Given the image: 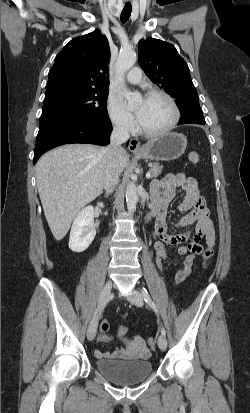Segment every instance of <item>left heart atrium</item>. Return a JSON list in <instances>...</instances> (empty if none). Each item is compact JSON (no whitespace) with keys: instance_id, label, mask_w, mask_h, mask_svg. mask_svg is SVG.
Segmentation results:
<instances>
[{"instance_id":"obj_1","label":"left heart atrium","mask_w":250,"mask_h":413,"mask_svg":"<svg viewBox=\"0 0 250 413\" xmlns=\"http://www.w3.org/2000/svg\"><path fill=\"white\" fill-rule=\"evenodd\" d=\"M137 116H138V118H140V116H141V110H138V111H137Z\"/></svg>"}]
</instances>
